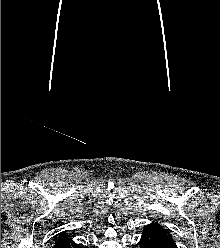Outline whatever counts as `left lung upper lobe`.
<instances>
[{
    "label": "left lung upper lobe",
    "instance_id": "obj_1",
    "mask_svg": "<svg viewBox=\"0 0 220 248\" xmlns=\"http://www.w3.org/2000/svg\"><path fill=\"white\" fill-rule=\"evenodd\" d=\"M148 226H151L153 228L156 229V231L164 238L166 239L168 242H172L174 243V240L170 234V232L168 231V229L163 228L158 222H153L151 224H149Z\"/></svg>",
    "mask_w": 220,
    "mask_h": 248
}]
</instances>
